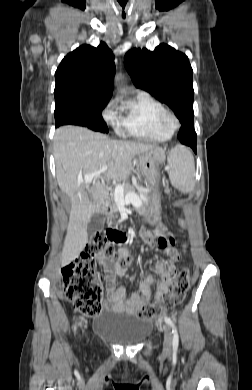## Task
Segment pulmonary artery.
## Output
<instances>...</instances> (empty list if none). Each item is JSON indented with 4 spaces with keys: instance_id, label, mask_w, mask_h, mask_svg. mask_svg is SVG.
Instances as JSON below:
<instances>
[{
    "instance_id": "e3ab8cb5",
    "label": "pulmonary artery",
    "mask_w": 252,
    "mask_h": 390,
    "mask_svg": "<svg viewBox=\"0 0 252 390\" xmlns=\"http://www.w3.org/2000/svg\"><path fill=\"white\" fill-rule=\"evenodd\" d=\"M139 95H146V94H145L144 92H141V91H140V92H139Z\"/></svg>"
}]
</instances>
